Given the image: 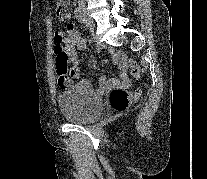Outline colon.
Listing matches in <instances>:
<instances>
[{
	"mask_svg": "<svg viewBox=\"0 0 207 179\" xmlns=\"http://www.w3.org/2000/svg\"><path fill=\"white\" fill-rule=\"evenodd\" d=\"M68 0H55V14L58 18H62L67 11ZM56 56V70L59 80L62 84L69 83L70 78L76 75V71L70 67L69 58L64 50L62 40H55ZM133 75L138 76L139 69L133 59L129 60ZM141 95L140 90L129 92L128 90L117 87L114 88L109 95V102L111 107L119 112L128 109L133 101H136Z\"/></svg>",
	"mask_w": 207,
	"mask_h": 179,
	"instance_id": "5ec220e1",
	"label": "colon"
}]
</instances>
